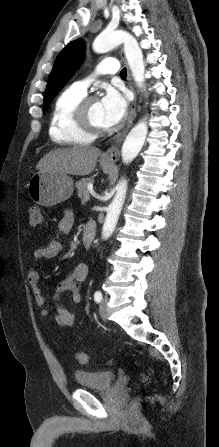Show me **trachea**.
Returning a JSON list of instances; mask_svg holds the SVG:
<instances>
[{
  "mask_svg": "<svg viewBox=\"0 0 219 447\" xmlns=\"http://www.w3.org/2000/svg\"><path fill=\"white\" fill-rule=\"evenodd\" d=\"M120 76H121V78H126V76H127V70H126V68H123V69L121 70V72H120Z\"/></svg>",
  "mask_w": 219,
  "mask_h": 447,
  "instance_id": "obj_1",
  "label": "trachea"
}]
</instances>
